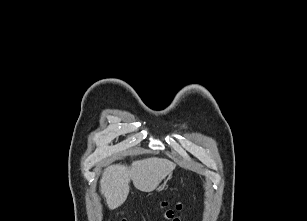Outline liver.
Here are the masks:
<instances>
[{"label": "liver", "instance_id": "obj_1", "mask_svg": "<svg viewBox=\"0 0 307 221\" xmlns=\"http://www.w3.org/2000/svg\"><path fill=\"white\" fill-rule=\"evenodd\" d=\"M174 168L173 162L162 158L137 160L129 167L122 164L110 165L103 172L100 190L108 208L114 210L126 201L130 191V181L136 189L152 192Z\"/></svg>", "mask_w": 307, "mask_h": 221}]
</instances>
